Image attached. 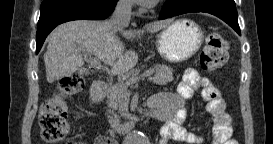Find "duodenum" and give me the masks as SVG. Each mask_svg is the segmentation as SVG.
<instances>
[{
	"mask_svg": "<svg viewBox=\"0 0 273 144\" xmlns=\"http://www.w3.org/2000/svg\"><path fill=\"white\" fill-rule=\"evenodd\" d=\"M106 87L103 83L96 81L92 86V95L101 97L105 93ZM169 101L165 94H156L152 96L144 109L143 116H149L155 120L165 119L164 110L168 107ZM133 122H125L122 125L123 129H128L132 126Z\"/></svg>",
	"mask_w": 273,
	"mask_h": 144,
	"instance_id": "1",
	"label": "duodenum"
}]
</instances>
